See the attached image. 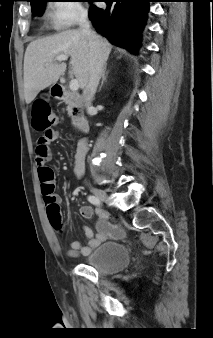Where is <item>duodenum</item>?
<instances>
[{"mask_svg": "<svg viewBox=\"0 0 213 338\" xmlns=\"http://www.w3.org/2000/svg\"><path fill=\"white\" fill-rule=\"evenodd\" d=\"M52 94L56 100H65L70 104L75 125L82 131L86 132L89 128V121L84 114L82 96L79 93L69 90L62 85L54 86L52 89Z\"/></svg>", "mask_w": 213, "mask_h": 338, "instance_id": "obj_1", "label": "duodenum"}]
</instances>
